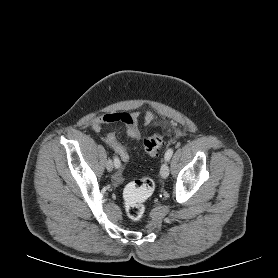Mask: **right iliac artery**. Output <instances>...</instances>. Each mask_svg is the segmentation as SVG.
<instances>
[{
    "label": "right iliac artery",
    "mask_w": 278,
    "mask_h": 278,
    "mask_svg": "<svg viewBox=\"0 0 278 278\" xmlns=\"http://www.w3.org/2000/svg\"><path fill=\"white\" fill-rule=\"evenodd\" d=\"M114 165L116 168H119L120 167V160L117 158V157H114Z\"/></svg>",
    "instance_id": "1"
}]
</instances>
